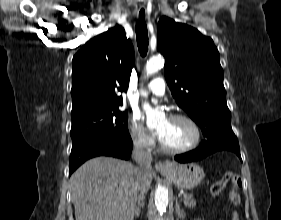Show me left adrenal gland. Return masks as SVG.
<instances>
[{"label": "left adrenal gland", "mask_w": 281, "mask_h": 220, "mask_svg": "<svg viewBox=\"0 0 281 220\" xmlns=\"http://www.w3.org/2000/svg\"><path fill=\"white\" fill-rule=\"evenodd\" d=\"M176 213H177L178 217H180V218H184L186 216L185 212L180 209L179 202H176Z\"/></svg>", "instance_id": "obj_1"}]
</instances>
